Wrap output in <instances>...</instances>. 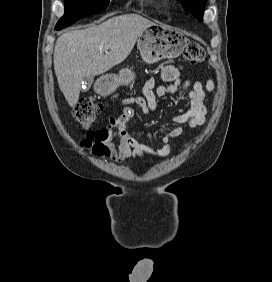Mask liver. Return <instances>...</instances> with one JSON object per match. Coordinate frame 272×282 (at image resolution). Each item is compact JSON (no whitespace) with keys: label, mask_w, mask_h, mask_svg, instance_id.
<instances>
[{"label":"liver","mask_w":272,"mask_h":282,"mask_svg":"<svg viewBox=\"0 0 272 282\" xmlns=\"http://www.w3.org/2000/svg\"><path fill=\"white\" fill-rule=\"evenodd\" d=\"M151 25L150 20L140 15L125 14L62 34L55 44L53 62L59 88L69 106L77 104L84 79L122 63L139 35ZM105 45L110 46L106 54Z\"/></svg>","instance_id":"liver-1"}]
</instances>
